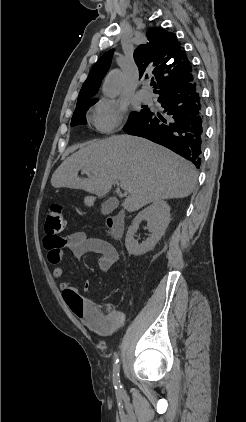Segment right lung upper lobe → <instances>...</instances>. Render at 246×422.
<instances>
[{
  "mask_svg": "<svg viewBox=\"0 0 246 422\" xmlns=\"http://www.w3.org/2000/svg\"><path fill=\"white\" fill-rule=\"evenodd\" d=\"M146 35L148 41L135 50L134 60L140 79L155 77L154 93L195 79L191 63L174 33L151 28ZM111 57L112 51H108L94 64L80 90L76 107L98 100L92 96L110 66Z\"/></svg>",
  "mask_w": 246,
  "mask_h": 422,
  "instance_id": "1",
  "label": "right lung upper lobe"
}]
</instances>
